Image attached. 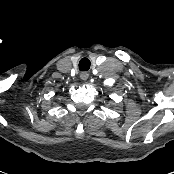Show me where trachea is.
Returning a JSON list of instances; mask_svg holds the SVG:
<instances>
[{"label": "trachea", "mask_w": 174, "mask_h": 174, "mask_svg": "<svg viewBox=\"0 0 174 174\" xmlns=\"http://www.w3.org/2000/svg\"><path fill=\"white\" fill-rule=\"evenodd\" d=\"M90 68V60L88 58H82L79 61V70L87 71Z\"/></svg>", "instance_id": "1"}]
</instances>
